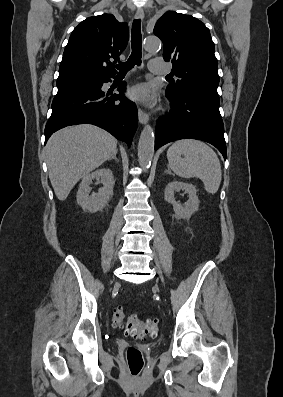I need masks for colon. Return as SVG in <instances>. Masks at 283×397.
<instances>
[{"mask_svg":"<svg viewBox=\"0 0 283 397\" xmlns=\"http://www.w3.org/2000/svg\"><path fill=\"white\" fill-rule=\"evenodd\" d=\"M112 322L118 327H124L125 334L138 339L155 338L159 333L156 319L142 320L134 315H127L122 307L116 306L112 310ZM129 372L132 376L141 375L144 367L142 352L135 347L126 351Z\"/></svg>","mask_w":283,"mask_h":397,"instance_id":"1","label":"colon"}]
</instances>
